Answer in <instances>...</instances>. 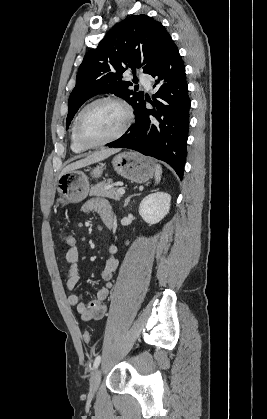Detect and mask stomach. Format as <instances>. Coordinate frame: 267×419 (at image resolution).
<instances>
[{
	"label": "stomach",
	"mask_w": 267,
	"mask_h": 419,
	"mask_svg": "<svg viewBox=\"0 0 267 419\" xmlns=\"http://www.w3.org/2000/svg\"><path fill=\"white\" fill-rule=\"evenodd\" d=\"M112 165L119 175L136 183H143L152 178L156 169L152 159L135 152L117 154L112 160ZM103 169L104 164H99L91 170V175L98 178ZM89 187L88 177L81 170H71L60 175L57 182V204L64 207L69 203L81 202L87 197Z\"/></svg>",
	"instance_id": "stomach-1"
}]
</instances>
